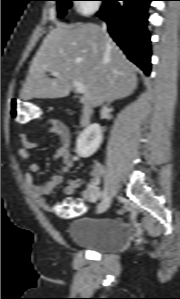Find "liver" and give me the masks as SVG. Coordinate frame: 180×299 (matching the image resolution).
I'll use <instances>...</instances> for the list:
<instances>
[{
  "label": "liver",
  "instance_id": "1",
  "mask_svg": "<svg viewBox=\"0 0 180 299\" xmlns=\"http://www.w3.org/2000/svg\"><path fill=\"white\" fill-rule=\"evenodd\" d=\"M53 71L59 76L49 78L46 73ZM74 80L87 88L80 103L91 107L131 95L138 81L136 67L103 28L92 23H58L33 58L20 97H66Z\"/></svg>",
  "mask_w": 180,
  "mask_h": 299
}]
</instances>
